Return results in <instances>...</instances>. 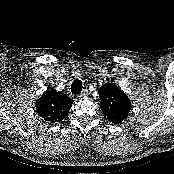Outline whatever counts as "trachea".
Instances as JSON below:
<instances>
[{
    "label": "trachea",
    "instance_id": "1",
    "mask_svg": "<svg viewBox=\"0 0 174 174\" xmlns=\"http://www.w3.org/2000/svg\"><path fill=\"white\" fill-rule=\"evenodd\" d=\"M82 88H83L82 81L79 79H76L73 81L71 85V92L74 95H79L82 91Z\"/></svg>",
    "mask_w": 174,
    "mask_h": 174
}]
</instances>
